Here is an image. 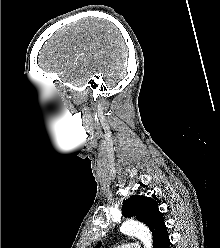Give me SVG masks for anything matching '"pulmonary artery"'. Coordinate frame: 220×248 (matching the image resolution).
Segmentation results:
<instances>
[{"label": "pulmonary artery", "mask_w": 220, "mask_h": 248, "mask_svg": "<svg viewBox=\"0 0 220 248\" xmlns=\"http://www.w3.org/2000/svg\"><path fill=\"white\" fill-rule=\"evenodd\" d=\"M115 248H140V246L138 244L130 243V244L119 245Z\"/></svg>", "instance_id": "1"}]
</instances>
